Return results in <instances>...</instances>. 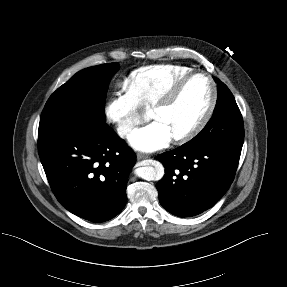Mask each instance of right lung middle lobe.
Instances as JSON below:
<instances>
[{
    "label": "right lung middle lobe",
    "mask_w": 287,
    "mask_h": 287,
    "mask_svg": "<svg viewBox=\"0 0 287 287\" xmlns=\"http://www.w3.org/2000/svg\"><path fill=\"white\" fill-rule=\"evenodd\" d=\"M118 69V63L89 67L58 88L42 111L38 139L107 126L106 93L110 78Z\"/></svg>",
    "instance_id": "dd1d6c3e"
}]
</instances>
